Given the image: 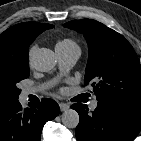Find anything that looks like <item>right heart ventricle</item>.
<instances>
[{"label": "right heart ventricle", "instance_id": "right-heart-ventricle-1", "mask_svg": "<svg viewBox=\"0 0 141 141\" xmlns=\"http://www.w3.org/2000/svg\"><path fill=\"white\" fill-rule=\"evenodd\" d=\"M56 49H61V50L77 49L79 50V46L75 40L71 38H64L56 44Z\"/></svg>", "mask_w": 141, "mask_h": 141}]
</instances>
